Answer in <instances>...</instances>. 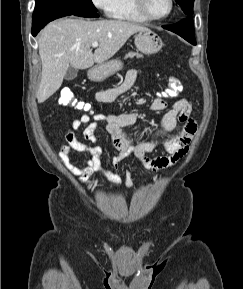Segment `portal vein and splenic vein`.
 <instances>
[{
  "label": "portal vein and splenic vein",
  "instance_id": "18ae733b",
  "mask_svg": "<svg viewBox=\"0 0 243 289\" xmlns=\"http://www.w3.org/2000/svg\"><path fill=\"white\" fill-rule=\"evenodd\" d=\"M98 45H99V43H98L97 41H94V42H92V44H91V46L94 47V48L97 47Z\"/></svg>",
  "mask_w": 243,
  "mask_h": 289
}]
</instances>
